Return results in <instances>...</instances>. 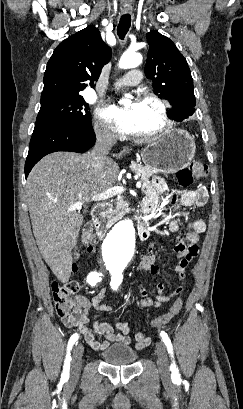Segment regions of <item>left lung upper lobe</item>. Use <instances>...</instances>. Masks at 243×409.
Segmentation results:
<instances>
[{"instance_id": "left-lung-upper-lobe-1", "label": "left lung upper lobe", "mask_w": 243, "mask_h": 409, "mask_svg": "<svg viewBox=\"0 0 243 409\" xmlns=\"http://www.w3.org/2000/svg\"><path fill=\"white\" fill-rule=\"evenodd\" d=\"M149 51L145 75L153 80L155 93L170 101L171 117L195 112L193 79L186 59L175 44L158 31L147 34Z\"/></svg>"}]
</instances>
